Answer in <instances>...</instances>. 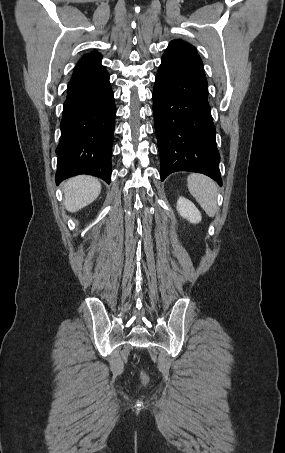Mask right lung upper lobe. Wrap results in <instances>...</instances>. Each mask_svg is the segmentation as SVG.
I'll list each match as a JSON object with an SVG mask.
<instances>
[{"instance_id": "cb5924a9", "label": "right lung upper lobe", "mask_w": 285, "mask_h": 453, "mask_svg": "<svg viewBox=\"0 0 285 453\" xmlns=\"http://www.w3.org/2000/svg\"><path fill=\"white\" fill-rule=\"evenodd\" d=\"M101 60H102V55L99 52H97V51H93V52H91L89 54L84 55L80 59L78 64L94 65V64L101 63Z\"/></svg>"}]
</instances>
